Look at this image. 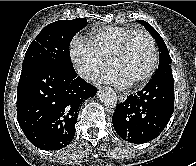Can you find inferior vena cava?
Returning <instances> with one entry per match:
<instances>
[{
    "mask_svg": "<svg viewBox=\"0 0 196 166\" xmlns=\"http://www.w3.org/2000/svg\"><path fill=\"white\" fill-rule=\"evenodd\" d=\"M78 73L80 74V76H82L85 79H88L90 76V70L86 69V68H82L78 71Z\"/></svg>",
    "mask_w": 196,
    "mask_h": 166,
    "instance_id": "inferior-vena-cava-1",
    "label": "inferior vena cava"
}]
</instances>
